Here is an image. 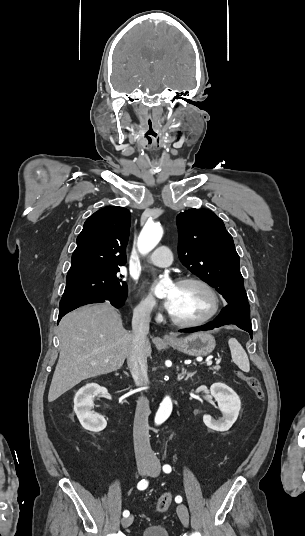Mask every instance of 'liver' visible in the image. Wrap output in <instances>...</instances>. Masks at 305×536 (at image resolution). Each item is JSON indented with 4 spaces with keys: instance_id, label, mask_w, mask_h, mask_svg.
Segmentation results:
<instances>
[{
    "instance_id": "1",
    "label": "liver",
    "mask_w": 305,
    "mask_h": 536,
    "mask_svg": "<svg viewBox=\"0 0 305 536\" xmlns=\"http://www.w3.org/2000/svg\"><path fill=\"white\" fill-rule=\"evenodd\" d=\"M122 318L109 302L70 312L59 324L60 356L48 402H54L76 384L122 368L131 346ZM146 356L151 344L146 340Z\"/></svg>"
}]
</instances>
